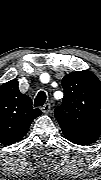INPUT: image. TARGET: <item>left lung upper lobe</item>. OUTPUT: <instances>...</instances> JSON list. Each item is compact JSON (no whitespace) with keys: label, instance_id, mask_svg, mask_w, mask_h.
Masks as SVG:
<instances>
[{"label":"left lung upper lobe","instance_id":"5c2ea615","mask_svg":"<svg viewBox=\"0 0 101 180\" xmlns=\"http://www.w3.org/2000/svg\"><path fill=\"white\" fill-rule=\"evenodd\" d=\"M64 98L55 117L64 135L78 145L96 142L101 134V82L90 71L67 74L62 79Z\"/></svg>","mask_w":101,"mask_h":180}]
</instances>
